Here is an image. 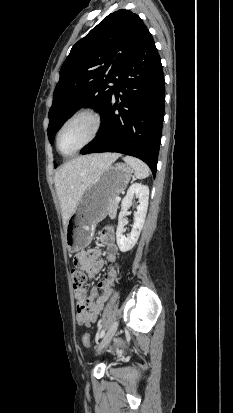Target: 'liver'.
I'll return each instance as SVG.
<instances>
[{
  "label": "liver",
  "mask_w": 233,
  "mask_h": 413,
  "mask_svg": "<svg viewBox=\"0 0 233 413\" xmlns=\"http://www.w3.org/2000/svg\"><path fill=\"white\" fill-rule=\"evenodd\" d=\"M119 154H92L75 158L58 168L54 182L65 226L85 189L97 175L108 168Z\"/></svg>",
  "instance_id": "obj_1"
}]
</instances>
